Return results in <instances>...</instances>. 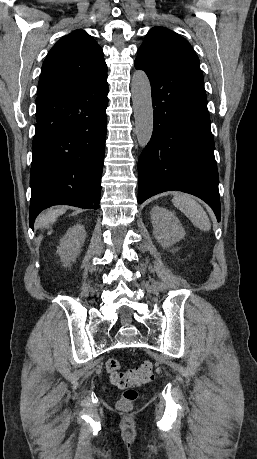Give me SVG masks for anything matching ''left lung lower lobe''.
<instances>
[{
    "mask_svg": "<svg viewBox=\"0 0 257 459\" xmlns=\"http://www.w3.org/2000/svg\"><path fill=\"white\" fill-rule=\"evenodd\" d=\"M134 65L149 77L154 109L153 134L138 161V203L178 190L204 200L219 221L218 171L200 68L137 59Z\"/></svg>",
    "mask_w": 257,
    "mask_h": 459,
    "instance_id": "left-lung-lower-lobe-1",
    "label": "left lung lower lobe"
}]
</instances>
